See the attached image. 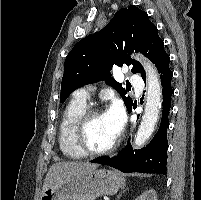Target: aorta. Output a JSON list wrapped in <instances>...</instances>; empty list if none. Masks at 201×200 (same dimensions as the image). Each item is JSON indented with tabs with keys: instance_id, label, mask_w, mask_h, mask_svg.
I'll return each mask as SVG.
<instances>
[{
	"instance_id": "1",
	"label": "aorta",
	"mask_w": 201,
	"mask_h": 200,
	"mask_svg": "<svg viewBox=\"0 0 201 200\" xmlns=\"http://www.w3.org/2000/svg\"><path fill=\"white\" fill-rule=\"evenodd\" d=\"M147 75V96L142 121L135 136V147H141L154 132L161 108L162 89L155 66L147 59L140 57Z\"/></svg>"
}]
</instances>
